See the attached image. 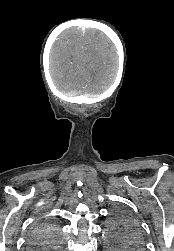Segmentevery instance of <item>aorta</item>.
<instances>
[{
    "label": "aorta",
    "instance_id": "1",
    "mask_svg": "<svg viewBox=\"0 0 174 251\" xmlns=\"http://www.w3.org/2000/svg\"><path fill=\"white\" fill-rule=\"evenodd\" d=\"M104 238L106 240L104 250L105 251H120V246L118 244H114L110 241V232H104Z\"/></svg>",
    "mask_w": 174,
    "mask_h": 251
}]
</instances>
